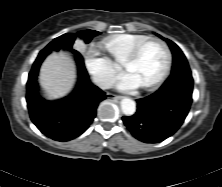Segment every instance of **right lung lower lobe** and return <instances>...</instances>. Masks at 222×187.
Segmentation results:
<instances>
[{"label": "right lung lower lobe", "instance_id": "1", "mask_svg": "<svg viewBox=\"0 0 222 187\" xmlns=\"http://www.w3.org/2000/svg\"><path fill=\"white\" fill-rule=\"evenodd\" d=\"M52 50L44 48L35 60L26 85V100L30 118L37 128L47 137L63 142L78 137L89 127L98 104L106 95L90 82L83 58L75 51L79 78L72 93L54 102L40 97L36 82L39 67Z\"/></svg>", "mask_w": 222, "mask_h": 187}]
</instances>
